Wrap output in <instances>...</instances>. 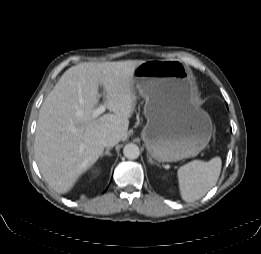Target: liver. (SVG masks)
Returning <instances> with one entry per match:
<instances>
[{
	"instance_id": "6515ba94",
	"label": "liver",
	"mask_w": 261,
	"mask_h": 254,
	"mask_svg": "<svg viewBox=\"0 0 261 254\" xmlns=\"http://www.w3.org/2000/svg\"><path fill=\"white\" fill-rule=\"evenodd\" d=\"M143 60L84 62L64 72L44 100L34 141L39 170L59 194L67 193L77 179L101 156L103 139L117 134L127 138L129 118L136 106L133 74ZM103 89V105L113 114L93 119Z\"/></svg>"
}]
</instances>
